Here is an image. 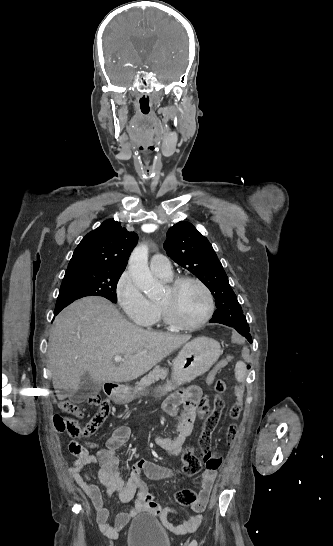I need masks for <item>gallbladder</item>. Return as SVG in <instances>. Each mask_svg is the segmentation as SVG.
<instances>
[{
	"mask_svg": "<svg viewBox=\"0 0 333 546\" xmlns=\"http://www.w3.org/2000/svg\"><path fill=\"white\" fill-rule=\"evenodd\" d=\"M100 389L101 385L94 382L91 375L86 372L80 378V392L75 395L74 400L82 401L88 395L98 393Z\"/></svg>",
	"mask_w": 333,
	"mask_h": 546,
	"instance_id": "gallbladder-1",
	"label": "gallbladder"
}]
</instances>
